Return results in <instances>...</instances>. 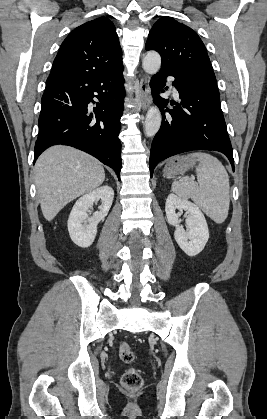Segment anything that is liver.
I'll use <instances>...</instances> for the list:
<instances>
[{"instance_id":"6515ba94","label":"liver","mask_w":267,"mask_h":419,"mask_svg":"<svg viewBox=\"0 0 267 419\" xmlns=\"http://www.w3.org/2000/svg\"><path fill=\"white\" fill-rule=\"evenodd\" d=\"M35 184L44 218L51 221L77 197L99 187L105 179L102 164L68 146H53L35 164Z\"/></svg>"}]
</instances>
